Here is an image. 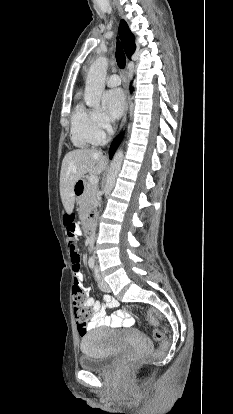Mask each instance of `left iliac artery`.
Returning a JSON list of instances; mask_svg holds the SVG:
<instances>
[{
    "label": "left iliac artery",
    "instance_id": "obj_1",
    "mask_svg": "<svg viewBox=\"0 0 233 414\" xmlns=\"http://www.w3.org/2000/svg\"><path fill=\"white\" fill-rule=\"evenodd\" d=\"M94 275H95L96 280L100 279V273H99V269L97 267L94 270Z\"/></svg>",
    "mask_w": 233,
    "mask_h": 414
}]
</instances>
